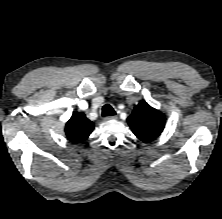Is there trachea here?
Wrapping results in <instances>:
<instances>
[{
  "label": "trachea",
  "instance_id": "obj_1",
  "mask_svg": "<svg viewBox=\"0 0 222 219\" xmlns=\"http://www.w3.org/2000/svg\"><path fill=\"white\" fill-rule=\"evenodd\" d=\"M115 114H116V112L111 105L106 104L103 106V108H102V116L103 117L111 116V115H115Z\"/></svg>",
  "mask_w": 222,
  "mask_h": 219
}]
</instances>
